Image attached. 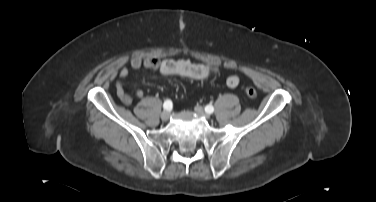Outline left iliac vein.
Returning <instances> with one entry per match:
<instances>
[{"mask_svg":"<svg viewBox=\"0 0 376 202\" xmlns=\"http://www.w3.org/2000/svg\"><path fill=\"white\" fill-rule=\"evenodd\" d=\"M194 110H195V112L198 113L199 115L204 116V117L207 118V119H210V115H209L207 112H205V110H204L203 107H201V106H199V105H196V106L194 107Z\"/></svg>","mask_w":376,"mask_h":202,"instance_id":"4c4485c4","label":"left iliac vein"}]
</instances>
